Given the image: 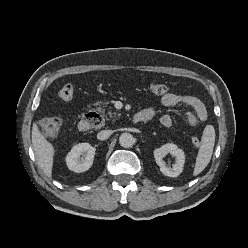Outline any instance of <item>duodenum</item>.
<instances>
[{
	"label": "duodenum",
	"mask_w": 248,
	"mask_h": 248,
	"mask_svg": "<svg viewBox=\"0 0 248 248\" xmlns=\"http://www.w3.org/2000/svg\"><path fill=\"white\" fill-rule=\"evenodd\" d=\"M132 120L134 123H141L149 120V117L141 114V113H136L133 117ZM101 118L99 114L97 113H86L84 114L81 119L78 121V129L81 132H87L91 130L94 127H97L100 124Z\"/></svg>",
	"instance_id": "obj_1"
}]
</instances>
